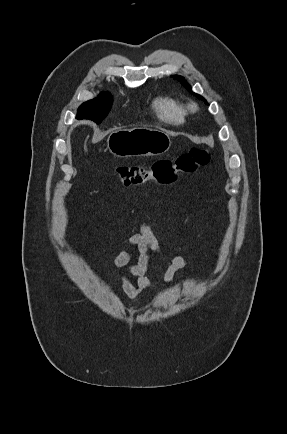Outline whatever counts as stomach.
Here are the masks:
<instances>
[{
	"label": "stomach",
	"instance_id": "1",
	"mask_svg": "<svg viewBox=\"0 0 287 434\" xmlns=\"http://www.w3.org/2000/svg\"><path fill=\"white\" fill-rule=\"evenodd\" d=\"M171 143L166 132L150 127L114 130L107 138V148L116 157L160 155Z\"/></svg>",
	"mask_w": 287,
	"mask_h": 434
}]
</instances>
